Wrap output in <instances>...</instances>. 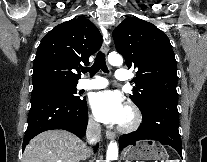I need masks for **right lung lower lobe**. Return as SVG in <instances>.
Listing matches in <instances>:
<instances>
[{"label": "right lung lower lobe", "instance_id": "obj_1", "mask_svg": "<svg viewBox=\"0 0 207 162\" xmlns=\"http://www.w3.org/2000/svg\"><path fill=\"white\" fill-rule=\"evenodd\" d=\"M88 122L85 99L70 101L58 94H44L31 97L28 127L22 149L36 135L52 129H64L77 136H83ZM98 146L95 147V151Z\"/></svg>", "mask_w": 207, "mask_h": 162}]
</instances>
